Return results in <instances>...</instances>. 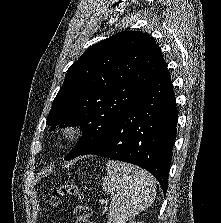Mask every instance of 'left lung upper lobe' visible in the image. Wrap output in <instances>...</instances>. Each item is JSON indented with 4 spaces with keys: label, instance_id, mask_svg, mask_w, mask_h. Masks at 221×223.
<instances>
[{
    "label": "left lung upper lobe",
    "instance_id": "1",
    "mask_svg": "<svg viewBox=\"0 0 221 223\" xmlns=\"http://www.w3.org/2000/svg\"><path fill=\"white\" fill-rule=\"evenodd\" d=\"M164 65L154 39L140 31H122L88 48L69 67L46 122L81 126L82 137L65 159L100 140Z\"/></svg>",
    "mask_w": 221,
    "mask_h": 223
}]
</instances>
